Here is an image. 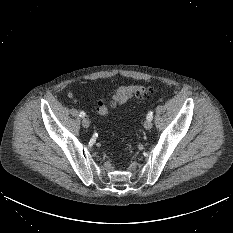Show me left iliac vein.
<instances>
[{"mask_svg": "<svg viewBox=\"0 0 233 233\" xmlns=\"http://www.w3.org/2000/svg\"><path fill=\"white\" fill-rule=\"evenodd\" d=\"M144 127H145L147 130L151 129V128H152V122H151V120H146V121L144 122Z\"/></svg>", "mask_w": 233, "mask_h": 233, "instance_id": "left-iliac-vein-1", "label": "left iliac vein"}]
</instances>
